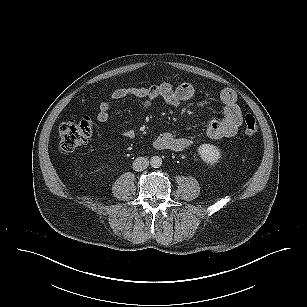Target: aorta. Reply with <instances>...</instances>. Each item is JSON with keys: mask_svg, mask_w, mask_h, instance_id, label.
I'll list each match as a JSON object with an SVG mask.
<instances>
[{"mask_svg": "<svg viewBox=\"0 0 307 307\" xmlns=\"http://www.w3.org/2000/svg\"><path fill=\"white\" fill-rule=\"evenodd\" d=\"M150 165L154 168H159L162 165V158L159 156L151 157Z\"/></svg>", "mask_w": 307, "mask_h": 307, "instance_id": "762f6f07", "label": "aorta"}]
</instances>
